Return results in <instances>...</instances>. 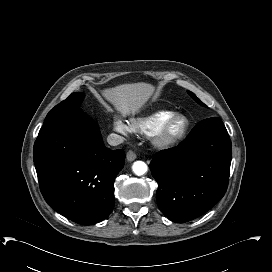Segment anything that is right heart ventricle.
<instances>
[{
  "mask_svg": "<svg viewBox=\"0 0 272 272\" xmlns=\"http://www.w3.org/2000/svg\"><path fill=\"white\" fill-rule=\"evenodd\" d=\"M173 116L174 113L171 111H160L147 118L134 120L130 125L141 133L152 136Z\"/></svg>",
  "mask_w": 272,
  "mask_h": 272,
  "instance_id": "obj_1",
  "label": "right heart ventricle"
}]
</instances>
